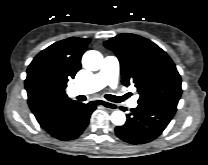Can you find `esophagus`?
Returning <instances> with one entry per match:
<instances>
[{
    "label": "esophagus",
    "mask_w": 208,
    "mask_h": 165,
    "mask_svg": "<svg viewBox=\"0 0 208 165\" xmlns=\"http://www.w3.org/2000/svg\"><path fill=\"white\" fill-rule=\"evenodd\" d=\"M96 104L98 106H101V107L106 108L108 110H116L117 109V105L116 104L108 102V101L103 100V99H97L96 100Z\"/></svg>",
    "instance_id": "1"
}]
</instances>
